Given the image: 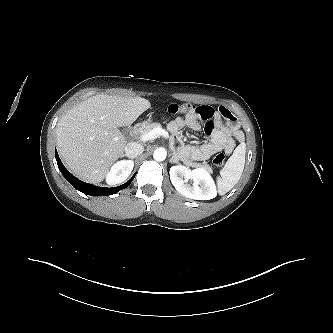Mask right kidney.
I'll return each instance as SVG.
<instances>
[{"instance_id":"1","label":"right kidney","mask_w":333,"mask_h":333,"mask_svg":"<svg viewBox=\"0 0 333 333\" xmlns=\"http://www.w3.org/2000/svg\"><path fill=\"white\" fill-rule=\"evenodd\" d=\"M134 167L133 161L122 160L113 165L107 173L106 182L110 185L118 184L127 179Z\"/></svg>"}]
</instances>
